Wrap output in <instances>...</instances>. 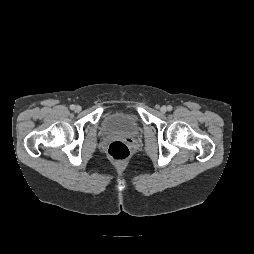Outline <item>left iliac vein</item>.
<instances>
[{
	"mask_svg": "<svg viewBox=\"0 0 254 254\" xmlns=\"http://www.w3.org/2000/svg\"><path fill=\"white\" fill-rule=\"evenodd\" d=\"M166 110H167V108H166L165 106H162L161 109H160V111H161L162 113H165Z\"/></svg>",
	"mask_w": 254,
	"mask_h": 254,
	"instance_id": "left-iliac-vein-1",
	"label": "left iliac vein"
}]
</instances>
